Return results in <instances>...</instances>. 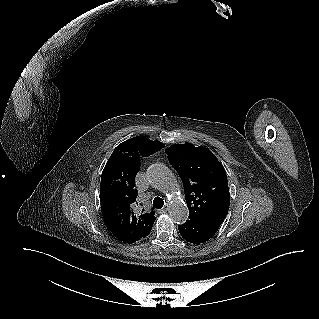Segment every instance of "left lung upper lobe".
Segmentation results:
<instances>
[{
    "label": "left lung upper lobe",
    "mask_w": 319,
    "mask_h": 319,
    "mask_svg": "<svg viewBox=\"0 0 319 319\" xmlns=\"http://www.w3.org/2000/svg\"><path fill=\"white\" fill-rule=\"evenodd\" d=\"M166 154L183 181L188 218L221 225L230 204L223 165L207 148L188 143L172 145Z\"/></svg>",
    "instance_id": "1"
}]
</instances>
